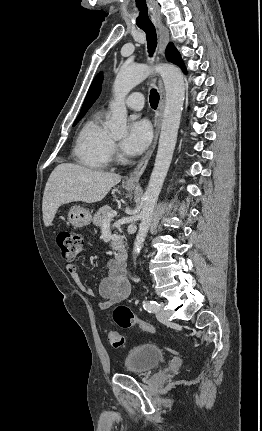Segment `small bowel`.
I'll list each match as a JSON object with an SVG mask.
<instances>
[{
  "label": "small bowel",
  "mask_w": 262,
  "mask_h": 431,
  "mask_svg": "<svg viewBox=\"0 0 262 431\" xmlns=\"http://www.w3.org/2000/svg\"><path fill=\"white\" fill-rule=\"evenodd\" d=\"M66 270L82 294L89 297L94 296V291L81 281L75 264H67ZM130 292L131 284L128 277L127 263H124L119 258L111 259L107 264V274L99 285L100 299L97 303L98 308L106 310L127 299Z\"/></svg>",
  "instance_id": "1"
}]
</instances>
